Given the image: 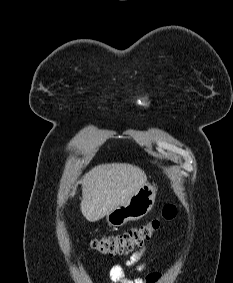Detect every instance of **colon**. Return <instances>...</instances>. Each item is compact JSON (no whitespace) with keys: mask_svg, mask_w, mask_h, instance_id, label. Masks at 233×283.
Instances as JSON below:
<instances>
[{"mask_svg":"<svg viewBox=\"0 0 233 283\" xmlns=\"http://www.w3.org/2000/svg\"><path fill=\"white\" fill-rule=\"evenodd\" d=\"M176 213L175 205L166 203L157 217L122 234L93 239L90 247L103 255H120L149 240L159 230L161 220L173 219Z\"/></svg>","mask_w":233,"mask_h":283,"instance_id":"obj_1","label":"colon"}]
</instances>
